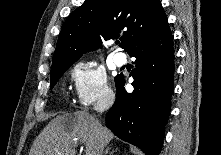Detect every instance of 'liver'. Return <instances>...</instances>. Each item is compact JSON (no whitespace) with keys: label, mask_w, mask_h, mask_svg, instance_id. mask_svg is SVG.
Wrapping results in <instances>:
<instances>
[{"label":"liver","mask_w":221,"mask_h":155,"mask_svg":"<svg viewBox=\"0 0 221 155\" xmlns=\"http://www.w3.org/2000/svg\"><path fill=\"white\" fill-rule=\"evenodd\" d=\"M114 134L85 111L57 116L34 140L29 155H76L79 142L85 155H102Z\"/></svg>","instance_id":"1"}]
</instances>
